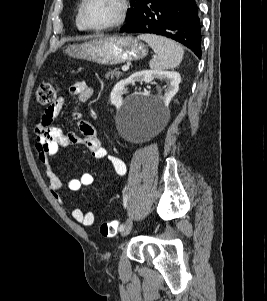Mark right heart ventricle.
I'll return each instance as SVG.
<instances>
[{
  "label": "right heart ventricle",
  "mask_w": 267,
  "mask_h": 301,
  "mask_svg": "<svg viewBox=\"0 0 267 301\" xmlns=\"http://www.w3.org/2000/svg\"><path fill=\"white\" fill-rule=\"evenodd\" d=\"M76 27L78 30H84L85 28L82 26L81 22H80V18H79V11L77 12V15H76Z\"/></svg>",
  "instance_id": "e07e8e85"
}]
</instances>
